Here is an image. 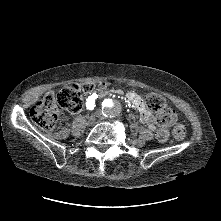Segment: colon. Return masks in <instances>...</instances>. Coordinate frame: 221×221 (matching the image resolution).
<instances>
[{
	"mask_svg": "<svg viewBox=\"0 0 221 221\" xmlns=\"http://www.w3.org/2000/svg\"><path fill=\"white\" fill-rule=\"evenodd\" d=\"M95 88L94 85L67 84L60 93L55 96L49 94L38 101L31 108L30 114L34 124L43 132L53 133L62 141L70 138V131L65 127H58V120L65 121L67 113L80 114L85 108V96ZM150 108L158 114L159 126L156 129V137L160 142H166L170 137L168 124L172 122V111L166 105L164 99L156 94L148 98ZM185 134L182 124H176L174 135L181 139Z\"/></svg>",
	"mask_w": 221,
	"mask_h": 221,
	"instance_id": "obj_1",
	"label": "colon"
}]
</instances>
